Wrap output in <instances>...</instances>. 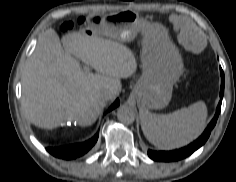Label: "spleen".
Returning <instances> with one entry per match:
<instances>
[{
    "label": "spleen",
    "instance_id": "obj_1",
    "mask_svg": "<svg viewBox=\"0 0 236 182\" xmlns=\"http://www.w3.org/2000/svg\"><path fill=\"white\" fill-rule=\"evenodd\" d=\"M207 118L204 102L169 114L140 111L141 128L147 140L160 149H175L195 140L203 131Z\"/></svg>",
    "mask_w": 236,
    "mask_h": 182
}]
</instances>
